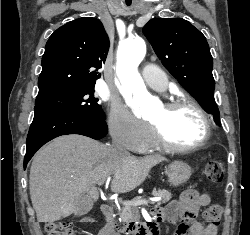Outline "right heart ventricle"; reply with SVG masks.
Returning a JSON list of instances; mask_svg holds the SVG:
<instances>
[{
    "mask_svg": "<svg viewBox=\"0 0 250 235\" xmlns=\"http://www.w3.org/2000/svg\"><path fill=\"white\" fill-rule=\"evenodd\" d=\"M158 148H159L158 144L156 143L154 137L151 135L149 142L146 144V146L142 150L148 152V151L156 150Z\"/></svg>",
    "mask_w": 250,
    "mask_h": 235,
    "instance_id": "e07e8e85",
    "label": "right heart ventricle"
}]
</instances>
